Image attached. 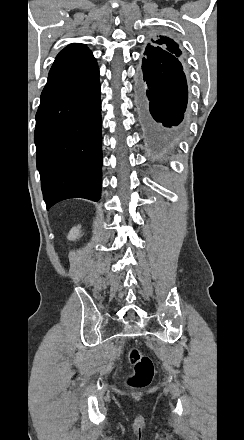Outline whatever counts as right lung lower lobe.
Listing matches in <instances>:
<instances>
[{"instance_id":"right-lung-lower-lobe-1","label":"right lung lower lobe","mask_w":244,"mask_h":440,"mask_svg":"<svg viewBox=\"0 0 244 440\" xmlns=\"http://www.w3.org/2000/svg\"><path fill=\"white\" fill-rule=\"evenodd\" d=\"M101 126L97 62L51 70L41 94L34 137L47 209L68 198L100 199Z\"/></svg>"}]
</instances>
